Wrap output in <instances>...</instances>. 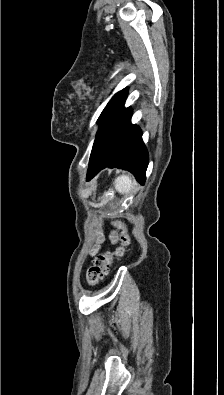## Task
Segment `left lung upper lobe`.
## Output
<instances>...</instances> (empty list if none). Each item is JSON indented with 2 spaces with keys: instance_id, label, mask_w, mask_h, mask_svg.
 <instances>
[{
  "instance_id": "obj_1",
  "label": "left lung upper lobe",
  "mask_w": 224,
  "mask_h": 395,
  "mask_svg": "<svg viewBox=\"0 0 224 395\" xmlns=\"http://www.w3.org/2000/svg\"><path fill=\"white\" fill-rule=\"evenodd\" d=\"M121 92H122V91H121ZM121 92L117 93V94L113 97V99H114L118 94H120ZM113 99H112V100H113Z\"/></svg>"
}]
</instances>
